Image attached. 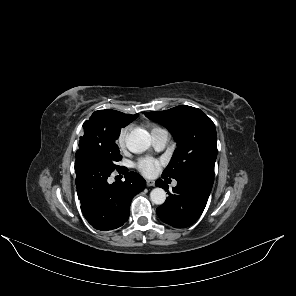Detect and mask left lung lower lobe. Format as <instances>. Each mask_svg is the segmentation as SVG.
<instances>
[{"label": "left lung lower lobe", "mask_w": 296, "mask_h": 296, "mask_svg": "<svg viewBox=\"0 0 296 296\" xmlns=\"http://www.w3.org/2000/svg\"><path fill=\"white\" fill-rule=\"evenodd\" d=\"M176 180L178 185L173 188V193H169L165 203L157 208V214L166 224L185 228L192 225L202 214L213 186L214 175L195 173ZM155 184L168 191L167 184L161 179Z\"/></svg>", "instance_id": "0a47b994"}]
</instances>
